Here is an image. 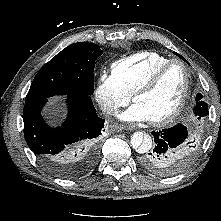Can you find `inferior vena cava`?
I'll return each instance as SVG.
<instances>
[{"label":"inferior vena cava","mask_w":221,"mask_h":221,"mask_svg":"<svg viewBox=\"0 0 221 221\" xmlns=\"http://www.w3.org/2000/svg\"><path fill=\"white\" fill-rule=\"evenodd\" d=\"M102 111L106 114H114L118 112V109L113 105H105L102 107Z\"/></svg>","instance_id":"obj_1"}]
</instances>
